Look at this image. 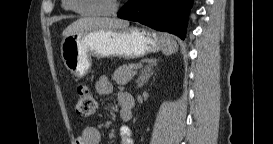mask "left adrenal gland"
I'll return each instance as SVG.
<instances>
[{
	"label": "left adrenal gland",
	"mask_w": 273,
	"mask_h": 144,
	"mask_svg": "<svg viewBox=\"0 0 273 144\" xmlns=\"http://www.w3.org/2000/svg\"><path fill=\"white\" fill-rule=\"evenodd\" d=\"M157 65L156 60L151 59L147 65H145L138 77L137 88L143 87V85L148 81V79L153 75V67Z\"/></svg>",
	"instance_id": "a2214340"
}]
</instances>
